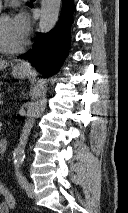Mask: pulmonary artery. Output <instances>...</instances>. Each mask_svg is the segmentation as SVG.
I'll use <instances>...</instances> for the list:
<instances>
[{"label":"pulmonary artery","instance_id":"pulmonary-artery-1","mask_svg":"<svg viewBox=\"0 0 128 213\" xmlns=\"http://www.w3.org/2000/svg\"><path fill=\"white\" fill-rule=\"evenodd\" d=\"M0 9H1V0H0Z\"/></svg>","mask_w":128,"mask_h":213}]
</instances>
